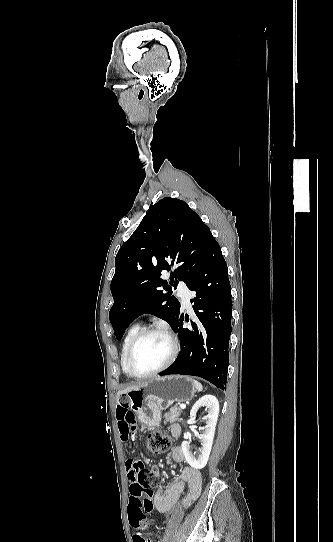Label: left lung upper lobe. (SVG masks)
Masks as SVG:
<instances>
[{"mask_svg":"<svg viewBox=\"0 0 333 542\" xmlns=\"http://www.w3.org/2000/svg\"><path fill=\"white\" fill-rule=\"evenodd\" d=\"M212 238L199 215L182 200L165 197L149 209L115 258L111 281L114 304L109 319L118 340L144 313L176 326L180 303L171 296L172 287L178 284L174 279L187 283L203 261ZM171 267L175 270L170 281L161 279V272Z\"/></svg>","mask_w":333,"mask_h":542,"instance_id":"5c2ea615","label":"left lung upper lobe"}]
</instances>
